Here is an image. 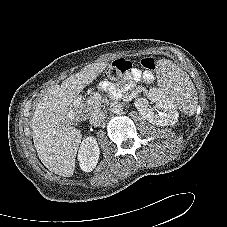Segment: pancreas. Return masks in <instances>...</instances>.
Returning <instances> with one entry per match:
<instances>
[{"label":"pancreas","mask_w":227,"mask_h":227,"mask_svg":"<svg viewBox=\"0 0 227 227\" xmlns=\"http://www.w3.org/2000/svg\"><path fill=\"white\" fill-rule=\"evenodd\" d=\"M80 107L84 112L92 113L100 108L101 104L99 100H95L94 96H90L88 100L81 102Z\"/></svg>","instance_id":"obj_1"}]
</instances>
